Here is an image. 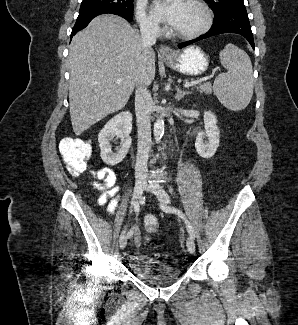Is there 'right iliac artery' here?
I'll use <instances>...</instances> for the list:
<instances>
[{
	"label": "right iliac artery",
	"instance_id": "82829eb1",
	"mask_svg": "<svg viewBox=\"0 0 298 325\" xmlns=\"http://www.w3.org/2000/svg\"><path fill=\"white\" fill-rule=\"evenodd\" d=\"M134 210L136 213L139 212V204H135L134 205ZM133 235V229H131L128 233H127V238H130Z\"/></svg>",
	"mask_w": 298,
	"mask_h": 325
}]
</instances>
